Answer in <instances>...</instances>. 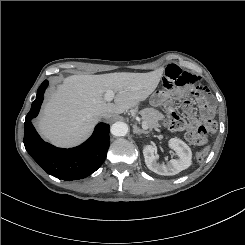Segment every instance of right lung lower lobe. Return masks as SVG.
Here are the masks:
<instances>
[{
    "instance_id": "1",
    "label": "right lung lower lobe",
    "mask_w": 245,
    "mask_h": 245,
    "mask_svg": "<svg viewBox=\"0 0 245 245\" xmlns=\"http://www.w3.org/2000/svg\"><path fill=\"white\" fill-rule=\"evenodd\" d=\"M48 86L45 80L39 87L36 99L24 122V145L30 156L50 175L70 181L85 178L104 162L109 148V125L99 123L93 135L75 148L62 149L44 142L31 120L37 116Z\"/></svg>"
}]
</instances>
